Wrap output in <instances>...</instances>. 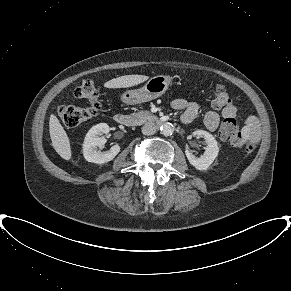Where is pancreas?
<instances>
[{"label":"pancreas","instance_id":"cf45deb5","mask_svg":"<svg viewBox=\"0 0 291 291\" xmlns=\"http://www.w3.org/2000/svg\"><path fill=\"white\" fill-rule=\"evenodd\" d=\"M131 117L133 125H142L143 123L154 119V116L146 110L133 113Z\"/></svg>","mask_w":291,"mask_h":291}]
</instances>
